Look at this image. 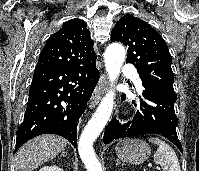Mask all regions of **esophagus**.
<instances>
[{
    "label": "esophagus",
    "mask_w": 199,
    "mask_h": 171,
    "mask_svg": "<svg viewBox=\"0 0 199 171\" xmlns=\"http://www.w3.org/2000/svg\"><path fill=\"white\" fill-rule=\"evenodd\" d=\"M107 79L105 74L101 75L90 99V108L93 109L99 103L106 88Z\"/></svg>",
    "instance_id": "1"
}]
</instances>
